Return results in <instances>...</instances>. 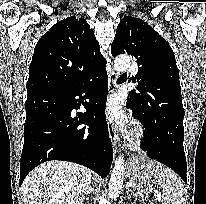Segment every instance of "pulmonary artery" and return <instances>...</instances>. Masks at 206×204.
Returning <instances> with one entry per match:
<instances>
[{
  "instance_id": "obj_1",
  "label": "pulmonary artery",
  "mask_w": 206,
  "mask_h": 204,
  "mask_svg": "<svg viewBox=\"0 0 206 204\" xmlns=\"http://www.w3.org/2000/svg\"><path fill=\"white\" fill-rule=\"evenodd\" d=\"M132 73H136L137 72V69L136 68H131L130 70Z\"/></svg>"
}]
</instances>
